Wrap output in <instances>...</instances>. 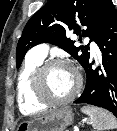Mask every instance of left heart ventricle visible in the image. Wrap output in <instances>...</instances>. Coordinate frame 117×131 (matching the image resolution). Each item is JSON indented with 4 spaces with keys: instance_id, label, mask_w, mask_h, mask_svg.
Segmentation results:
<instances>
[{
    "instance_id": "obj_1",
    "label": "left heart ventricle",
    "mask_w": 117,
    "mask_h": 131,
    "mask_svg": "<svg viewBox=\"0 0 117 131\" xmlns=\"http://www.w3.org/2000/svg\"><path fill=\"white\" fill-rule=\"evenodd\" d=\"M76 75L68 67L59 66L50 69L46 74V89L53 98H64L76 87Z\"/></svg>"
}]
</instances>
